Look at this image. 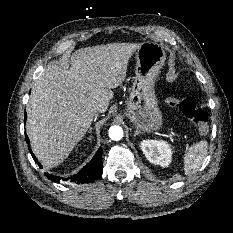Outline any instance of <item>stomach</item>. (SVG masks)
<instances>
[{"mask_svg": "<svg viewBox=\"0 0 233 233\" xmlns=\"http://www.w3.org/2000/svg\"><path fill=\"white\" fill-rule=\"evenodd\" d=\"M135 80L125 115L143 132H157L162 128L163 116L158 107L154 85L166 60L164 47L156 42L141 43L136 51Z\"/></svg>", "mask_w": 233, "mask_h": 233, "instance_id": "1", "label": "stomach"}]
</instances>
